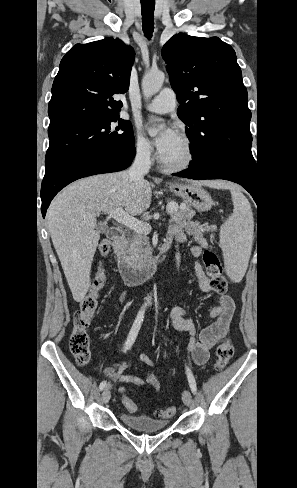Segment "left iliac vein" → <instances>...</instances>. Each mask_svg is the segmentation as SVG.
Segmentation results:
<instances>
[{"label": "left iliac vein", "mask_w": 297, "mask_h": 488, "mask_svg": "<svg viewBox=\"0 0 297 488\" xmlns=\"http://www.w3.org/2000/svg\"><path fill=\"white\" fill-rule=\"evenodd\" d=\"M182 400L186 406H190L192 404V395L190 391L185 390L182 394Z\"/></svg>", "instance_id": "1"}]
</instances>
